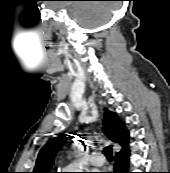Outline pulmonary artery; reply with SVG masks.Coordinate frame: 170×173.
Returning a JSON list of instances; mask_svg holds the SVG:
<instances>
[{"label":"pulmonary artery","instance_id":"obj_1","mask_svg":"<svg viewBox=\"0 0 170 173\" xmlns=\"http://www.w3.org/2000/svg\"><path fill=\"white\" fill-rule=\"evenodd\" d=\"M90 162L92 165L99 167V166H102L105 161L101 154H99L97 152H93L90 155Z\"/></svg>","mask_w":170,"mask_h":173}]
</instances>
